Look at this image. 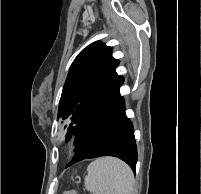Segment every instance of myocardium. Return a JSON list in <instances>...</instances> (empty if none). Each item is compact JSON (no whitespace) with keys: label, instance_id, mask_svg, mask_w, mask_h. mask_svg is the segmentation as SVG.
Here are the masks:
<instances>
[{"label":"myocardium","instance_id":"f54148a6","mask_svg":"<svg viewBox=\"0 0 201 194\" xmlns=\"http://www.w3.org/2000/svg\"><path fill=\"white\" fill-rule=\"evenodd\" d=\"M69 150H75L77 148H79V143L77 141H72L69 146H68Z\"/></svg>","mask_w":201,"mask_h":194}]
</instances>
